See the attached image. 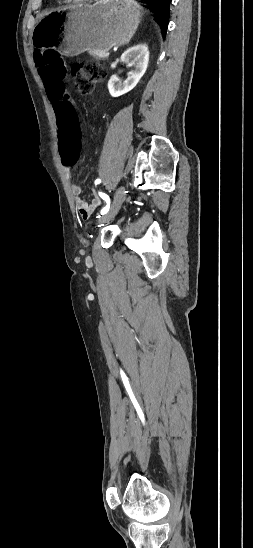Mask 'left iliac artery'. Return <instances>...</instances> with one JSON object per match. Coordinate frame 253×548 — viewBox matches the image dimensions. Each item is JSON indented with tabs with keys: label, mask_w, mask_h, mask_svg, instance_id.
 Instances as JSON below:
<instances>
[{
	"label": "left iliac artery",
	"mask_w": 253,
	"mask_h": 548,
	"mask_svg": "<svg viewBox=\"0 0 253 548\" xmlns=\"http://www.w3.org/2000/svg\"><path fill=\"white\" fill-rule=\"evenodd\" d=\"M100 183H101V179H97V180L95 181V185H98V184H100ZM100 196H101V198H102L103 200H105L106 203H107L106 206H105L104 208H102V210L100 211V213H101L102 215H104V214H106V213L109 211V208H110V199H109V196L106 195L105 193H100Z\"/></svg>",
	"instance_id": "1"
}]
</instances>
